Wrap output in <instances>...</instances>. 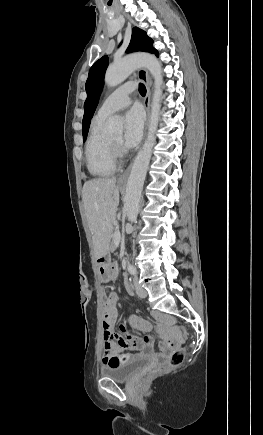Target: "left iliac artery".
<instances>
[{"instance_id": "44dca946", "label": "left iliac artery", "mask_w": 263, "mask_h": 435, "mask_svg": "<svg viewBox=\"0 0 263 435\" xmlns=\"http://www.w3.org/2000/svg\"><path fill=\"white\" fill-rule=\"evenodd\" d=\"M128 271L130 274L135 275L136 274V269L133 265H129L128 266Z\"/></svg>"}]
</instances>
